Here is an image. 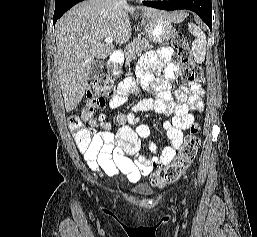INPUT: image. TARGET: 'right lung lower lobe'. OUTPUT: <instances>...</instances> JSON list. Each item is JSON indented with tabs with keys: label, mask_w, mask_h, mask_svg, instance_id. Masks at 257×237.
Instances as JSON below:
<instances>
[{
	"label": "right lung lower lobe",
	"mask_w": 257,
	"mask_h": 237,
	"mask_svg": "<svg viewBox=\"0 0 257 237\" xmlns=\"http://www.w3.org/2000/svg\"><path fill=\"white\" fill-rule=\"evenodd\" d=\"M83 0H61L55 2V11L53 16V24L55 25L56 21L72 6L81 2Z\"/></svg>",
	"instance_id": "1"
}]
</instances>
